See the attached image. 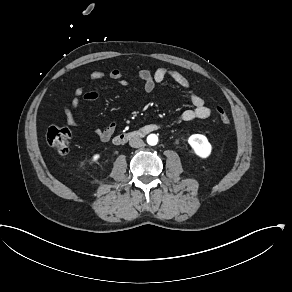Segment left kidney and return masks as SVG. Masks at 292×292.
<instances>
[{
	"mask_svg": "<svg viewBox=\"0 0 292 292\" xmlns=\"http://www.w3.org/2000/svg\"><path fill=\"white\" fill-rule=\"evenodd\" d=\"M187 142L194 154L200 159H207L212 154L213 146L203 134H192L187 139Z\"/></svg>",
	"mask_w": 292,
	"mask_h": 292,
	"instance_id": "1",
	"label": "left kidney"
}]
</instances>
